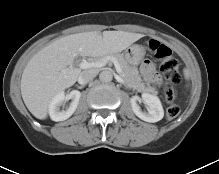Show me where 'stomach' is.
Returning <instances> with one entry per match:
<instances>
[{
    "label": "stomach",
    "instance_id": "0dacf381",
    "mask_svg": "<svg viewBox=\"0 0 219 174\" xmlns=\"http://www.w3.org/2000/svg\"><path fill=\"white\" fill-rule=\"evenodd\" d=\"M145 55L144 48L138 44L131 45L125 53L126 61L131 65H137Z\"/></svg>",
    "mask_w": 219,
    "mask_h": 174
}]
</instances>
